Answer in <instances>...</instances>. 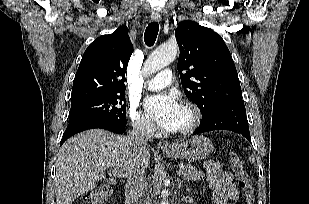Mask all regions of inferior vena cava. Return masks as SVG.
<instances>
[{
    "instance_id": "inferior-vena-cava-1",
    "label": "inferior vena cava",
    "mask_w": 309,
    "mask_h": 204,
    "mask_svg": "<svg viewBox=\"0 0 309 204\" xmlns=\"http://www.w3.org/2000/svg\"><path fill=\"white\" fill-rule=\"evenodd\" d=\"M151 131V125L146 121H139L133 125V130L128 137V141L140 155L146 152V145ZM146 187L145 168L139 166L130 174L125 185L127 204H136L142 197Z\"/></svg>"
}]
</instances>
